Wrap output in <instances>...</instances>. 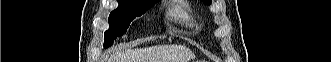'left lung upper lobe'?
<instances>
[{"label":"left lung upper lobe","mask_w":331,"mask_h":62,"mask_svg":"<svg viewBox=\"0 0 331 62\" xmlns=\"http://www.w3.org/2000/svg\"><path fill=\"white\" fill-rule=\"evenodd\" d=\"M205 3H211V0H202Z\"/></svg>","instance_id":"5c2ea615"}]
</instances>
